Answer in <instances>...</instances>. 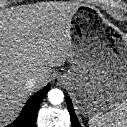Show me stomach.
<instances>
[{
  "mask_svg": "<svg viewBox=\"0 0 127 127\" xmlns=\"http://www.w3.org/2000/svg\"><path fill=\"white\" fill-rule=\"evenodd\" d=\"M87 7L80 8L78 18L89 13ZM80 33L72 48L71 69L58 79L76 93L84 114L91 115L107 111L127 97V55L121 50L116 53L91 31L81 28Z\"/></svg>",
  "mask_w": 127,
  "mask_h": 127,
  "instance_id": "obj_1",
  "label": "stomach"
}]
</instances>
